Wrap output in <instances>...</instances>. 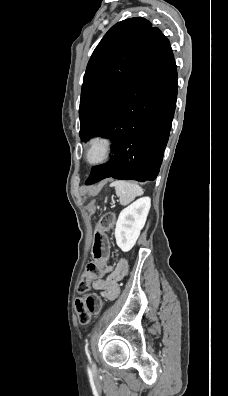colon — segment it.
<instances>
[{
  "mask_svg": "<svg viewBox=\"0 0 228 396\" xmlns=\"http://www.w3.org/2000/svg\"><path fill=\"white\" fill-rule=\"evenodd\" d=\"M114 225L115 215L107 213L99 217L95 228L92 248L94 261L87 265L77 287L80 294L87 293L84 297L78 298L75 302L76 312L82 324L88 323L90 318L93 315L99 314L102 309L101 299L94 294L88 293V291L92 280L99 277L102 273V266L107 249L106 233L111 231Z\"/></svg>",
  "mask_w": 228,
  "mask_h": 396,
  "instance_id": "1",
  "label": "colon"
}]
</instances>
